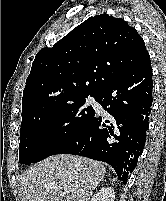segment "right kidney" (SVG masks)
I'll return each mask as SVG.
<instances>
[{
	"mask_svg": "<svg viewBox=\"0 0 166 201\" xmlns=\"http://www.w3.org/2000/svg\"><path fill=\"white\" fill-rule=\"evenodd\" d=\"M115 192L112 187L102 188L91 199V201H114Z\"/></svg>",
	"mask_w": 166,
	"mask_h": 201,
	"instance_id": "right-kidney-1",
	"label": "right kidney"
}]
</instances>
